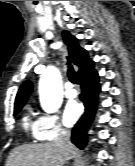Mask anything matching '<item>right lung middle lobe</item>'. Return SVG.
<instances>
[{
  "label": "right lung middle lobe",
  "instance_id": "dd1d6c3e",
  "mask_svg": "<svg viewBox=\"0 0 135 166\" xmlns=\"http://www.w3.org/2000/svg\"><path fill=\"white\" fill-rule=\"evenodd\" d=\"M23 106H20L18 108H14V115H16L22 108Z\"/></svg>",
  "mask_w": 135,
  "mask_h": 166
}]
</instances>
